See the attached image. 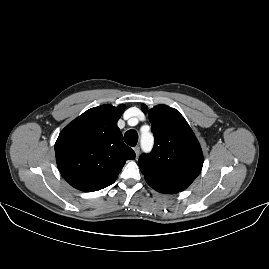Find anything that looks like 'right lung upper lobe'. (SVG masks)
<instances>
[{
	"label": "right lung upper lobe",
	"mask_w": 269,
	"mask_h": 269,
	"mask_svg": "<svg viewBox=\"0 0 269 269\" xmlns=\"http://www.w3.org/2000/svg\"><path fill=\"white\" fill-rule=\"evenodd\" d=\"M125 105L91 108L69 123L55 143L58 169L74 188L93 192L117 179L125 162L135 159L117 126Z\"/></svg>",
	"instance_id": "right-lung-upper-lobe-1"
}]
</instances>
